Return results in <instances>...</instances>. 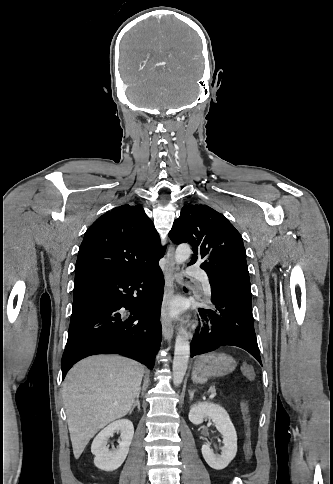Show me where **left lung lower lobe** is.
<instances>
[{
  "label": "left lung lower lobe",
  "mask_w": 333,
  "mask_h": 484,
  "mask_svg": "<svg viewBox=\"0 0 333 484\" xmlns=\"http://www.w3.org/2000/svg\"><path fill=\"white\" fill-rule=\"evenodd\" d=\"M193 263L195 261L190 264ZM201 268L210 278L211 301L216 306L198 309L204 325L196 329L191 341V357L232 345L248 351L262 365L254 330L246 258L237 250H226L202 263Z\"/></svg>",
  "instance_id": "left-lung-lower-lobe-1"
}]
</instances>
